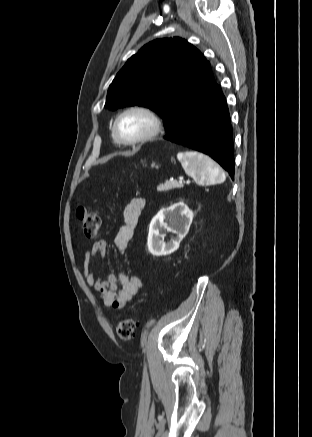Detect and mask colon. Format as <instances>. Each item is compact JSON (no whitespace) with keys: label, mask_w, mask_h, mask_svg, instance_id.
Wrapping results in <instances>:
<instances>
[{"label":"colon","mask_w":312,"mask_h":437,"mask_svg":"<svg viewBox=\"0 0 312 437\" xmlns=\"http://www.w3.org/2000/svg\"><path fill=\"white\" fill-rule=\"evenodd\" d=\"M84 234L88 237H96L100 230V221L95 211L90 208L79 206L76 210ZM136 320L125 318L117 325V335L121 340L129 341L134 337Z\"/></svg>","instance_id":"5ec220e1"}]
</instances>
